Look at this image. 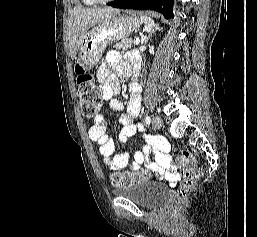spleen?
<instances>
[{"instance_id": "obj_1", "label": "spleen", "mask_w": 257, "mask_h": 237, "mask_svg": "<svg viewBox=\"0 0 257 237\" xmlns=\"http://www.w3.org/2000/svg\"><path fill=\"white\" fill-rule=\"evenodd\" d=\"M140 19H141V22L144 23L145 25L143 31L150 32L152 28H154L155 23L150 17L141 16Z\"/></svg>"}]
</instances>
